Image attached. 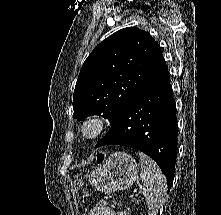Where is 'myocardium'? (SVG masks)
<instances>
[{
    "label": "myocardium",
    "instance_id": "myocardium-1",
    "mask_svg": "<svg viewBox=\"0 0 221 215\" xmlns=\"http://www.w3.org/2000/svg\"><path fill=\"white\" fill-rule=\"evenodd\" d=\"M107 128V119L101 114L86 116L78 126L79 137L85 142L96 140Z\"/></svg>",
    "mask_w": 221,
    "mask_h": 215
}]
</instances>
